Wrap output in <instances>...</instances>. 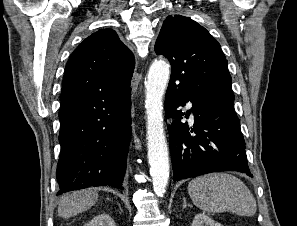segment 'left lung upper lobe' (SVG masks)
I'll use <instances>...</instances> for the list:
<instances>
[{"label":"left lung upper lobe","mask_w":297,"mask_h":226,"mask_svg":"<svg viewBox=\"0 0 297 226\" xmlns=\"http://www.w3.org/2000/svg\"><path fill=\"white\" fill-rule=\"evenodd\" d=\"M155 52L171 64V81L203 97L234 99L228 62L220 44L188 17L169 16L163 23Z\"/></svg>","instance_id":"5c2ea615"}]
</instances>
